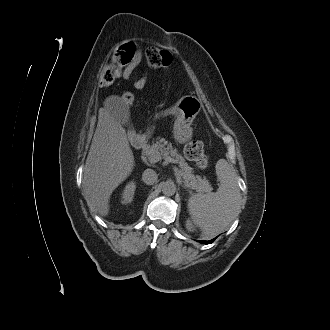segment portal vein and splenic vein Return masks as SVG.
I'll return each mask as SVG.
<instances>
[{
	"label": "portal vein and splenic vein",
	"mask_w": 330,
	"mask_h": 330,
	"mask_svg": "<svg viewBox=\"0 0 330 330\" xmlns=\"http://www.w3.org/2000/svg\"><path fill=\"white\" fill-rule=\"evenodd\" d=\"M160 160V158L158 157V156H156V155H151V157H150V159H149V161H150V163H156V162H158ZM172 160L171 159H169V162H171ZM174 171H175V174H176V177H177V179H180V174H179V170L176 168V167H174Z\"/></svg>",
	"instance_id": "18ae733b"
}]
</instances>
